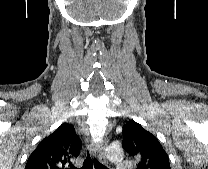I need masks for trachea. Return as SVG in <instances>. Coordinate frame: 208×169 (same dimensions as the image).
<instances>
[{"instance_id":"obj_1","label":"trachea","mask_w":208,"mask_h":169,"mask_svg":"<svg viewBox=\"0 0 208 169\" xmlns=\"http://www.w3.org/2000/svg\"><path fill=\"white\" fill-rule=\"evenodd\" d=\"M93 165L95 166V169H108L106 166L101 164L97 159L91 157L88 151L87 157L83 163V166L80 169H92ZM71 169H78V168L71 166Z\"/></svg>"}]
</instances>
